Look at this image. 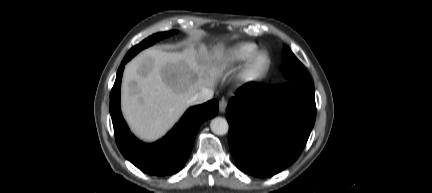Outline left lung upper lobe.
<instances>
[{
  "label": "left lung upper lobe",
  "instance_id": "left-lung-upper-lobe-1",
  "mask_svg": "<svg viewBox=\"0 0 432 193\" xmlns=\"http://www.w3.org/2000/svg\"><path fill=\"white\" fill-rule=\"evenodd\" d=\"M281 70L289 82H311L304 66L287 46L283 48Z\"/></svg>",
  "mask_w": 432,
  "mask_h": 193
}]
</instances>
